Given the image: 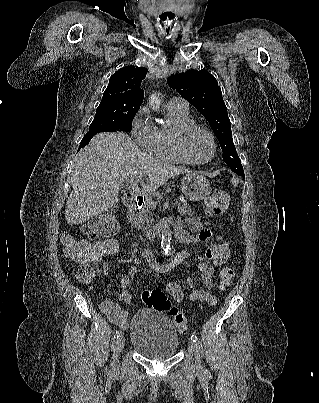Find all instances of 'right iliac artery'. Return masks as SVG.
<instances>
[{"label": "right iliac artery", "mask_w": 319, "mask_h": 403, "mask_svg": "<svg viewBox=\"0 0 319 403\" xmlns=\"http://www.w3.org/2000/svg\"><path fill=\"white\" fill-rule=\"evenodd\" d=\"M121 335H122V331H119V330L116 331L114 334V339H116V338L118 339Z\"/></svg>", "instance_id": "1"}]
</instances>
